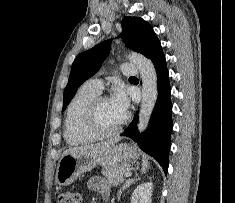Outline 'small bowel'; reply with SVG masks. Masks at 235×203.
I'll list each match as a JSON object with an SVG mask.
<instances>
[{"instance_id": "1", "label": "small bowel", "mask_w": 235, "mask_h": 203, "mask_svg": "<svg viewBox=\"0 0 235 203\" xmlns=\"http://www.w3.org/2000/svg\"><path fill=\"white\" fill-rule=\"evenodd\" d=\"M88 188L102 197L103 200L107 199L110 193V186L107 181L102 177H92L88 182Z\"/></svg>"}]
</instances>
